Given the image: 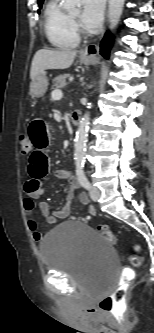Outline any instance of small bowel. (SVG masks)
Masks as SVG:
<instances>
[{"label": "small bowel", "mask_w": 154, "mask_h": 333, "mask_svg": "<svg viewBox=\"0 0 154 333\" xmlns=\"http://www.w3.org/2000/svg\"><path fill=\"white\" fill-rule=\"evenodd\" d=\"M27 135L32 150L28 158L29 179L24 186V191L27 195V198L24 200V209L32 237L35 241L39 242L42 240V235L38 231L34 213V201L40 199L45 192L43 179L47 175L50 165L48 150L51 134L49 126L44 120L34 119L29 124ZM54 175L57 178L68 180V193L65 203L57 210H52L50 205L45 201L39 202V210L45 220L50 224H55L59 219L69 217L73 194L79 188L78 182L71 176L68 170L58 169L55 171ZM78 199L83 205H89V199L84 193H81ZM90 212L91 214H95V210L92 206H90Z\"/></svg>", "instance_id": "obj_1"}]
</instances>
